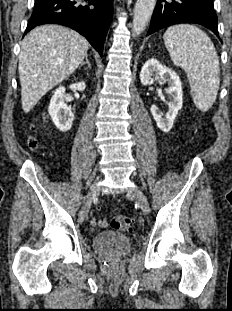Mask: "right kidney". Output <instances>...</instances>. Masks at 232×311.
Segmentation results:
<instances>
[{
    "mask_svg": "<svg viewBox=\"0 0 232 311\" xmlns=\"http://www.w3.org/2000/svg\"><path fill=\"white\" fill-rule=\"evenodd\" d=\"M70 88L83 91L86 88V84L82 81L70 85ZM64 93L65 87H59L56 89L48 107V112L52 118L53 123L61 132L68 131L71 128L74 120V114L71 110V107L64 103Z\"/></svg>",
    "mask_w": 232,
    "mask_h": 311,
    "instance_id": "right-kidney-1",
    "label": "right kidney"
}]
</instances>
